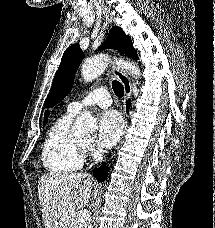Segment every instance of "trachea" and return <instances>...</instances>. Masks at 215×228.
Masks as SVG:
<instances>
[{
	"mask_svg": "<svg viewBox=\"0 0 215 228\" xmlns=\"http://www.w3.org/2000/svg\"><path fill=\"white\" fill-rule=\"evenodd\" d=\"M112 88L115 93V95L119 98H122L124 95V88L123 85L119 81H113L112 82Z\"/></svg>",
	"mask_w": 215,
	"mask_h": 228,
	"instance_id": "1",
	"label": "trachea"
}]
</instances>
